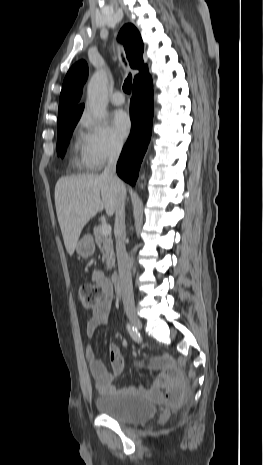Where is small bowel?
Returning a JSON list of instances; mask_svg holds the SVG:
<instances>
[{
  "mask_svg": "<svg viewBox=\"0 0 263 465\" xmlns=\"http://www.w3.org/2000/svg\"><path fill=\"white\" fill-rule=\"evenodd\" d=\"M92 277L94 282L103 289L104 294L100 303L91 309V317L86 325L88 339H92L96 330L109 320L113 298L110 282L104 274L97 271ZM86 356L90 375L99 393H128L136 390L134 387L118 389L113 385L114 378L121 375L125 367L123 356L117 346L111 345L109 349L112 373L96 357L91 344L87 345ZM148 368L160 371L154 383L147 390L148 396L157 402L166 401L172 404L180 402L185 393V382L173 360L168 356L155 357L149 361Z\"/></svg>",
  "mask_w": 263,
  "mask_h": 465,
  "instance_id": "obj_1",
  "label": "small bowel"
}]
</instances>
